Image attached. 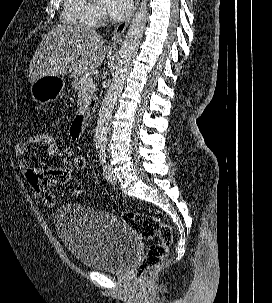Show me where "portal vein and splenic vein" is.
<instances>
[{
    "mask_svg": "<svg viewBox=\"0 0 272 303\" xmlns=\"http://www.w3.org/2000/svg\"><path fill=\"white\" fill-rule=\"evenodd\" d=\"M81 83H82V85L90 86L93 84V79H92V77L85 75L82 77Z\"/></svg>",
    "mask_w": 272,
    "mask_h": 303,
    "instance_id": "portal-vein-and-splenic-vein-1",
    "label": "portal vein and splenic vein"
}]
</instances>
